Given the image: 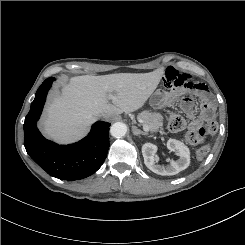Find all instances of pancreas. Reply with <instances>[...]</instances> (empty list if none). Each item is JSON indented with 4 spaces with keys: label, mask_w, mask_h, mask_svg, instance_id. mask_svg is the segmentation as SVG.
<instances>
[{
    "label": "pancreas",
    "mask_w": 245,
    "mask_h": 245,
    "mask_svg": "<svg viewBox=\"0 0 245 245\" xmlns=\"http://www.w3.org/2000/svg\"><path fill=\"white\" fill-rule=\"evenodd\" d=\"M139 119L143 124L149 127L150 132H158L163 130V117L156 112L143 111L139 114Z\"/></svg>",
    "instance_id": "pancreas-1"
}]
</instances>
